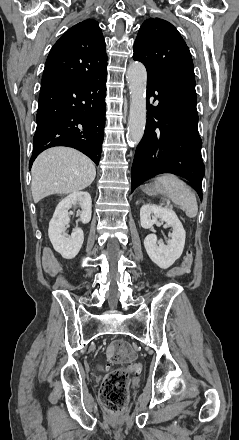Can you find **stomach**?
Returning a JSON list of instances; mask_svg holds the SVG:
<instances>
[{
    "instance_id": "0dacf381",
    "label": "stomach",
    "mask_w": 239,
    "mask_h": 440,
    "mask_svg": "<svg viewBox=\"0 0 239 440\" xmlns=\"http://www.w3.org/2000/svg\"><path fill=\"white\" fill-rule=\"evenodd\" d=\"M142 190L143 192H145V194H148V196H158V194H165L163 186H159L157 182H152V184H145Z\"/></svg>"
}]
</instances>
